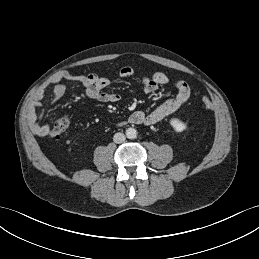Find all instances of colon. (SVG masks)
<instances>
[{"mask_svg": "<svg viewBox=\"0 0 259 259\" xmlns=\"http://www.w3.org/2000/svg\"><path fill=\"white\" fill-rule=\"evenodd\" d=\"M202 105L206 110H212L213 109L212 103L207 98L202 99ZM69 124H70V122H69V119L67 117H63V118L58 119L54 123L52 129L50 130V136L54 139L62 138L65 135V133H66L68 127H69Z\"/></svg>", "mask_w": 259, "mask_h": 259, "instance_id": "1", "label": "colon"}]
</instances>
